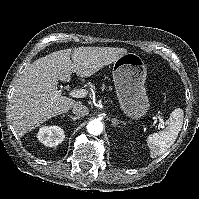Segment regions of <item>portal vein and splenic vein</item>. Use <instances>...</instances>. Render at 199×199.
<instances>
[{
    "label": "portal vein and splenic vein",
    "instance_id": "portal-vein-and-splenic-vein-1",
    "mask_svg": "<svg viewBox=\"0 0 199 199\" xmlns=\"http://www.w3.org/2000/svg\"><path fill=\"white\" fill-rule=\"evenodd\" d=\"M86 91L83 89L80 90H71L69 92V96L73 97V98H82L86 96ZM157 121H154V125L156 124ZM166 123L164 122V120H162L161 118H159V124L155 126V128H157L158 130L160 129H164L165 128Z\"/></svg>",
    "mask_w": 199,
    "mask_h": 199
}]
</instances>
